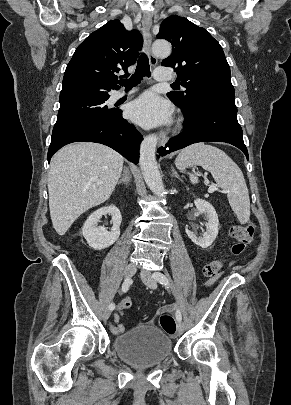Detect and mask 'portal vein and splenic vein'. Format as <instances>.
<instances>
[{"label":"portal vein and splenic vein","mask_w":291,"mask_h":405,"mask_svg":"<svg viewBox=\"0 0 291 405\" xmlns=\"http://www.w3.org/2000/svg\"><path fill=\"white\" fill-rule=\"evenodd\" d=\"M215 190H216V186H210V187L208 188V192H209V193H213Z\"/></svg>","instance_id":"18ae733b"}]
</instances>
